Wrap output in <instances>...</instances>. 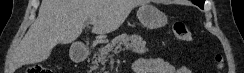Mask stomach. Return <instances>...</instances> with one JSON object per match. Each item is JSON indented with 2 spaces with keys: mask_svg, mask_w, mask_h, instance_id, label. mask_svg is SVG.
<instances>
[{
  "mask_svg": "<svg viewBox=\"0 0 244 73\" xmlns=\"http://www.w3.org/2000/svg\"><path fill=\"white\" fill-rule=\"evenodd\" d=\"M137 17L148 29H158L167 24L166 14L150 4H142L137 11Z\"/></svg>",
  "mask_w": 244,
  "mask_h": 73,
  "instance_id": "obj_1",
  "label": "stomach"
}]
</instances>
